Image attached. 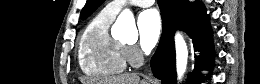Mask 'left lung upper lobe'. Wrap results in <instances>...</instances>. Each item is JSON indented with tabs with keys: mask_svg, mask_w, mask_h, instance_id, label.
I'll return each mask as SVG.
<instances>
[{
	"mask_svg": "<svg viewBox=\"0 0 260 84\" xmlns=\"http://www.w3.org/2000/svg\"><path fill=\"white\" fill-rule=\"evenodd\" d=\"M103 2L104 0H87L85 6L81 11V17L85 18L86 16L91 14V12L96 10L97 7H99Z\"/></svg>",
	"mask_w": 260,
	"mask_h": 84,
	"instance_id": "obj_1",
	"label": "left lung upper lobe"
}]
</instances>
